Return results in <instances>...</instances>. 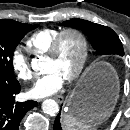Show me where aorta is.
<instances>
[{
  "instance_id": "1",
  "label": "aorta",
  "mask_w": 130,
  "mask_h": 130,
  "mask_svg": "<svg viewBox=\"0 0 130 130\" xmlns=\"http://www.w3.org/2000/svg\"><path fill=\"white\" fill-rule=\"evenodd\" d=\"M31 66L34 71H42L41 61L37 58L32 59ZM42 110L47 115L55 116L59 112V106L55 100L46 99L42 103Z\"/></svg>"
}]
</instances>
